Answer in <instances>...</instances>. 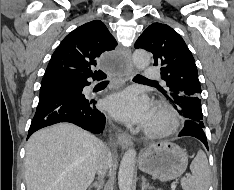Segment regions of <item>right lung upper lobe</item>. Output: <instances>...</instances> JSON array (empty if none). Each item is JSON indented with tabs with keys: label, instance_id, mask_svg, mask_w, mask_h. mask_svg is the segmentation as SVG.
Wrapping results in <instances>:
<instances>
[{
	"label": "right lung upper lobe",
	"instance_id": "cb5924a9",
	"mask_svg": "<svg viewBox=\"0 0 234 190\" xmlns=\"http://www.w3.org/2000/svg\"><path fill=\"white\" fill-rule=\"evenodd\" d=\"M116 45V40L102 21L83 24L62 40L51 57L43 80L80 73L93 74L91 68L96 66L100 56L114 50Z\"/></svg>",
	"mask_w": 234,
	"mask_h": 190
}]
</instances>
